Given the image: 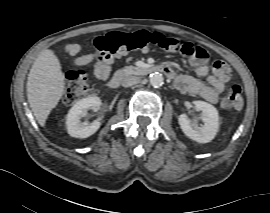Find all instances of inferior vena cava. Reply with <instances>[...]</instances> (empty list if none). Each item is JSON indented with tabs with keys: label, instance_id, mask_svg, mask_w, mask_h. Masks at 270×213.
<instances>
[{
	"label": "inferior vena cava",
	"instance_id": "inferior-vena-cava-1",
	"mask_svg": "<svg viewBox=\"0 0 270 213\" xmlns=\"http://www.w3.org/2000/svg\"><path fill=\"white\" fill-rule=\"evenodd\" d=\"M139 82H140V78L139 77L128 76V77H125L122 80V86L123 87H130V86H133V85L138 84Z\"/></svg>",
	"mask_w": 270,
	"mask_h": 213
}]
</instances>
